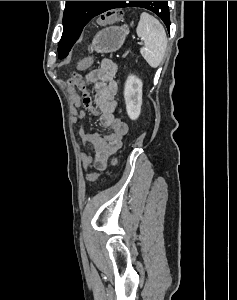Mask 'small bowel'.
I'll return each instance as SVG.
<instances>
[{"label":"small bowel","instance_id":"obj_1","mask_svg":"<svg viewBox=\"0 0 237 300\" xmlns=\"http://www.w3.org/2000/svg\"><path fill=\"white\" fill-rule=\"evenodd\" d=\"M117 65L111 59H104L99 68L89 72L85 78L80 77L76 87L82 95L74 94L72 101L75 107H83L80 112H75L73 122L79 118L93 115L99 116L102 126L110 128L109 135L89 134L85 132L84 125L80 128L79 135L84 146L91 144L95 153L88 150L81 153L84 168L94 167L104 170L110 156L115 154L123 145V139L128 133V125L116 116L117 102L115 95L118 85L115 80ZM87 85L93 87V96L87 90Z\"/></svg>","mask_w":237,"mask_h":300}]
</instances>
